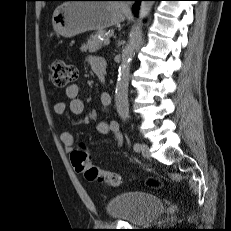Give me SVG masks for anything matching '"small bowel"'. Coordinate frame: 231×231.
<instances>
[{
    "label": "small bowel",
    "mask_w": 231,
    "mask_h": 231,
    "mask_svg": "<svg viewBox=\"0 0 231 231\" xmlns=\"http://www.w3.org/2000/svg\"><path fill=\"white\" fill-rule=\"evenodd\" d=\"M105 64V61L101 58H91L90 64L94 71V68L100 64ZM65 95L70 100L69 109L73 115L79 116L84 111L83 101L79 98V88L77 85L72 84L65 89ZM100 101L104 110H108L111 105V96L103 92L100 95ZM54 112L58 115H62L66 112V103L63 101H58L54 105ZM97 131L101 134H113L117 144L121 145L123 141L122 134L120 132V127L117 121L111 120H101L97 123ZM61 141L67 152H70L73 148L74 138L71 133L64 132L61 134Z\"/></svg>",
    "instance_id": "small-bowel-1"
}]
</instances>
